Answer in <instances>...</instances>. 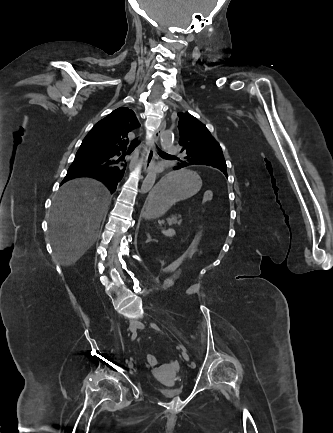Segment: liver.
<instances>
[{"label": "liver", "mask_w": 333, "mask_h": 433, "mask_svg": "<svg viewBox=\"0 0 333 433\" xmlns=\"http://www.w3.org/2000/svg\"><path fill=\"white\" fill-rule=\"evenodd\" d=\"M110 203L108 189L91 178H77L60 188L49 213V234L59 264H75L93 246Z\"/></svg>", "instance_id": "liver-1"}]
</instances>
